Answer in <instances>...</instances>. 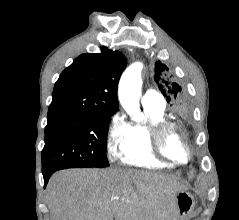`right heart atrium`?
<instances>
[{
	"mask_svg": "<svg viewBox=\"0 0 239 220\" xmlns=\"http://www.w3.org/2000/svg\"><path fill=\"white\" fill-rule=\"evenodd\" d=\"M130 125L123 113L117 110L110 117L106 132V147L110 156L116 157L121 144L129 135Z\"/></svg>",
	"mask_w": 239,
	"mask_h": 220,
	"instance_id": "obj_1",
	"label": "right heart atrium"
}]
</instances>
